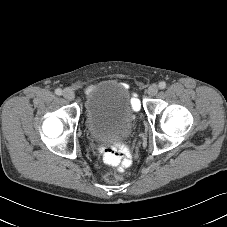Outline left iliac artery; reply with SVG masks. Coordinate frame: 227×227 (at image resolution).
Returning <instances> with one entry per match:
<instances>
[{
  "instance_id": "left-iliac-artery-1",
  "label": "left iliac artery",
  "mask_w": 227,
  "mask_h": 227,
  "mask_svg": "<svg viewBox=\"0 0 227 227\" xmlns=\"http://www.w3.org/2000/svg\"><path fill=\"white\" fill-rule=\"evenodd\" d=\"M165 87H166V82L161 81V82L159 83V88H160V89H164Z\"/></svg>"
}]
</instances>
